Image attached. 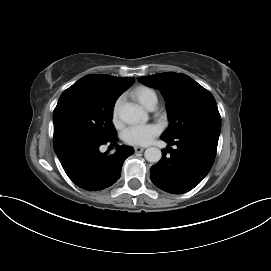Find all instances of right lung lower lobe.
Instances as JSON below:
<instances>
[{
  "mask_svg": "<svg viewBox=\"0 0 271 271\" xmlns=\"http://www.w3.org/2000/svg\"><path fill=\"white\" fill-rule=\"evenodd\" d=\"M117 138L87 141L68 146L57 152L58 159L68 177L80 188L88 191L105 189L120 177L122 164L134 153L132 147L118 146L112 155L101 153L102 144L117 145Z\"/></svg>",
  "mask_w": 271,
  "mask_h": 271,
  "instance_id": "98d812e1",
  "label": "right lung lower lobe"
}]
</instances>
